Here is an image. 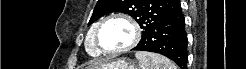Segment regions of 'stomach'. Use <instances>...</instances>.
<instances>
[{"label": "stomach", "instance_id": "1", "mask_svg": "<svg viewBox=\"0 0 246 69\" xmlns=\"http://www.w3.org/2000/svg\"><path fill=\"white\" fill-rule=\"evenodd\" d=\"M86 69H137V67L125 59H115L109 62L89 66Z\"/></svg>", "mask_w": 246, "mask_h": 69}]
</instances>
